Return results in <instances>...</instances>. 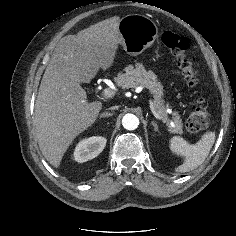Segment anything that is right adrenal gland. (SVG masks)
I'll list each match as a JSON object with an SVG mask.
<instances>
[{"label":"right adrenal gland","mask_w":236,"mask_h":236,"mask_svg":"<svg viewBox=\"0 0 236 236\" xmlns=\"http://www.w3.org/2000/svg\"><path fill=\"white\" fill-rule=\"evenodd\" d=\"M110 116H113V113L106 112V113L101 114L100 118H105V117H110Z\"/></svg>","instance_id":"obj_1"}]
</instances>
